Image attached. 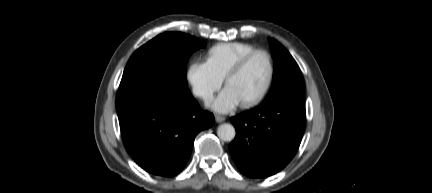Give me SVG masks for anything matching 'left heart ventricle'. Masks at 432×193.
<instances>
[{
	"mask_svg": "<svg viewBox=\"0 0 432 193\" xmlns=\"http://www.w3.org/2000/svg\"><path fill=\"white\" fill-rule=\"evenodd\" d=\"M269 76L268 59L263 54L256 55L227 86L238 97L240 103L256 97L264 88Z\"/></svg>",
	"mask_w": 432,
	"mask_h": 193,
	"instance_id": "1",
	"label": "left heart ventricle"
}]
</instances>
